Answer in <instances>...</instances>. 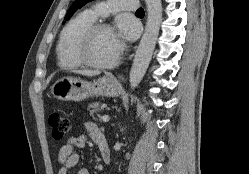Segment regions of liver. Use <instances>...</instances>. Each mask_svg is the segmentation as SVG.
I'll list each match as a JSON object with an SVG mask.
<instances>
[{
	"label": "liver",
	"mask_w": 249,
	"mask_h": 174,
	"mask_svg": "<svg viewBox=\"0 0 249 174\" xmlns=\"http://www.w3.org/2000/svg\"><path fill=\"white\" fill-rule=\"evenodd\" d=\"M74 73L88 76V77H92V76H96L100 74L99 71H91V70H76L74 71Z\"/></svg>",
	"instance_id": "1"
}]
</instances>
